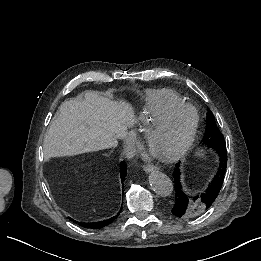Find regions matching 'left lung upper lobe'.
Returning a JSON list of instances; mask_svg holds the SVG:
<instances>
[{"instance_id":"left-lung-upper-lobe-1","label":"left lung upper lobe","mask_w":261,"mask_h":261,"mask_svg":"<svg viewBox=\"0 0 261 261\" xmlns=\"http://www.w3.org/2000/svg\"><path fill=\"white\" fill-rule=\"evenodd\" d=\"M206 120V132L200 144L206 145L216 151L225 150L226 143L222 133L217 129L214 115L212 113H207Z\"/></svg>"}]
</instances>
